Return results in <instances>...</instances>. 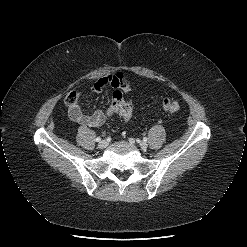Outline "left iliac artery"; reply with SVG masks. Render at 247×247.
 Returning <instances> with one entry per match:
<instances>
[{
  "instance_id": "left-iliac-artery-1",
  "label": "left iliac artery",
  "mask_w": 247,
  "mask_h": 247,
  "mask_svg": "<svg viewBox=\"0 0 247 247\" xmlns=\"http://www.w3.org/2000/svg\"><path fill=\"white\" fill-rule=\"evenodd\" d=\"M147 140H148V138H147V137H144V138H143V141H145V142H146Z\"/></svg>"
}]
</instances>
